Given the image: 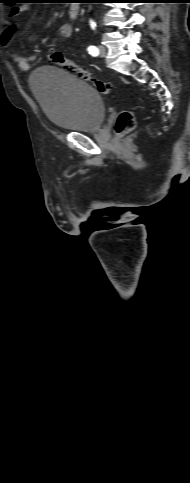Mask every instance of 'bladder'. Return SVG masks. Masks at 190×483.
<instances>
[{
  "label": "bladder",
  "instance_id": "bladder-1",
  "mask_svg": "<svg viewBox=\"0 0 190 483\" xmlns=\"http://www.w3.org/2000/svg\"><path fill=\"white\" fill-rule=\"evenodd\" d=\"M30 88L45 116L56 127L70 132L98 130L105 119V105L89 83L55 67L33 72Z\"/></svg>",
  "mask_w": 190,
  "mask_h": 483
}]
</instances>
